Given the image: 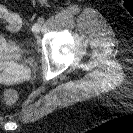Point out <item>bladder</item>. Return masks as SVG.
I'll return each mask as SVG.
<instances>
[{
    "mask_svg": "<svg viewBox=\"0 0 133 133\" xmlns=\"http://www.w3.org/2000/svg\"><path fill=\"white\" fill-rule=\"evenodd\" d=\"M25 56L23 48L9 42L6 34L0 33V62H16Z\"/></svg>",
    "mask_w": 133,
    "mask_h": 133,
    "instance_id": "1",
    "label": "bladder"
}]
</instances>
